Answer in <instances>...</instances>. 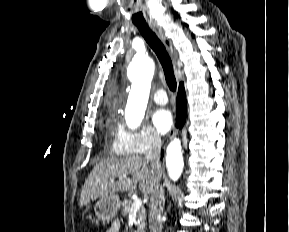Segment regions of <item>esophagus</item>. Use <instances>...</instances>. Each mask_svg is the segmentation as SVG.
<instances>
[{"mask_svg": "<svg viewBox=\"0 0 289 232\" xmlns=\"http://www.w3.org/2000/svg\"><path fill=\"white\" fill-rule=\"evenodd\" d=\"M150 27L157 34V36L160 38V40L163 42V44L165 45L167 50L170 53H173L172 44L168 40V38L165 36L163 30L158 25H156L155 23H151Z\"/></svg>", "mask_w": 289, "mask_h": 232, "instance_id": "34e87169", "label": "esophagus"}]
</instances>
